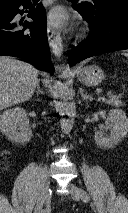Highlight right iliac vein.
<instances>
[{"mask_svg": "<svg viewBox=\"0 0 128 213\" xmlns=\"http://www.w3.org/2000/svg\"><path fill=\"white\" fill-rule=\"evenodd\" d=\"M49 191H50V179L49 177H46L42 182L40 195L38 197L34 213H41L44 204H46L50 199Z\"/></svg>", "mask_w": 128, "mask_h": 213, "instance_id": "63e3f726", "label": "right iliac vein"}]
</instances>
